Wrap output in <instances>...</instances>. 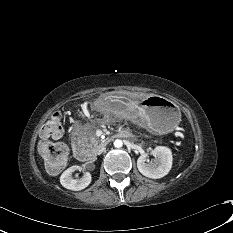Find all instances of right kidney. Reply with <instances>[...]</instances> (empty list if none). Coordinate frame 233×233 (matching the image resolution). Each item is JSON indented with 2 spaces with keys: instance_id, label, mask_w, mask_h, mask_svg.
I'll list each match as a JSON object with an SVG mask.
<instances>
[{
  "instance_id": "obj_1",
  "label": "right kidney",
  "mask_w": 233,
  "mask_h": 233,
  "mask_svg": "<svg viewBox=\"0 0 233 233\" xmlns=\"http://www.w3.org/2000/svg\"><path fill=\"white\" fill-rule=\"evenodd\" d=\"M81 169V167L74 165L65 170L60 177L61 185L73 191L85 189L91 183V174L89 172H85L81 178L76 179H74L72 176L73 172Z\"/></svg>"
}]
</instances>
